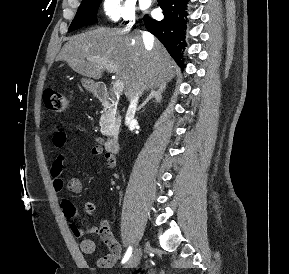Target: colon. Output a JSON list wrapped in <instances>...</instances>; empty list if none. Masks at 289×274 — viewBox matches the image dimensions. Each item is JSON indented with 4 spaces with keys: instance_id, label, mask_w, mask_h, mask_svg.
Returning <instances> with one entry per match:
<instances>
[{
    "instance_id": "1",
    "label": "colon",
    "mask_w": 289,
    "mask_h": 274,
    "mask_svg": "<svg viewBox=\"0 0 289 274\" xmlns=\"http://www.w3.org/2000/svg\"><path fill=\"white\" fill-rule=\"evenodd\" d=\"M43 100L46 108L55 112H62L69 106L68 97L64 93L52 89L44 91ZM88 208L89 210L92 209L91 206ZM99 230L106 235L109 233V228L106 223H103Z\"/></svg>"
}]
</instances>
